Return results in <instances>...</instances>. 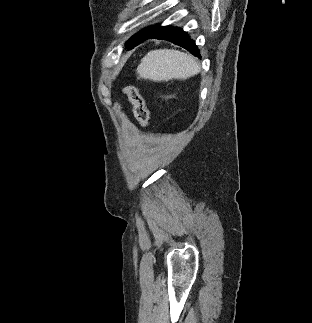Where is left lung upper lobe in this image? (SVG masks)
Segmentation results:
<instances>
[{
	"label": "left lung upper lobe",
	"instance_id": "left-lung-upper-lobe-1",
	"mask_svg": "<svg viewBox=\"0 0 312 323\" xmlns=\"http://www.w3.org/2000/svg\"><path fill=\"white\" fill-rule=\"evenodd\" d=\"M153 26H149L148 28L138 32L137 34H135L134 36H132L128 41H127V46L129 49L135 47L136 45H138L143 38L149 34V32L152 30Z\"/></svg>",
	"mask_w": 312,
	"mask_h": 323
}]
</instances>
